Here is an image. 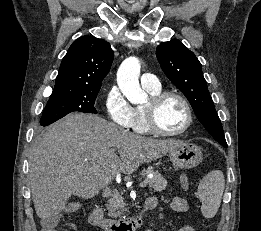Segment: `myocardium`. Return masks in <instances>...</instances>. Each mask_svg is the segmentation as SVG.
<instances>
[{
  "label": "myocardium",
  "instance_id": "1",
  "mask_svg": "<svg viewBox=\"0 0 261 231\" xmlns=\"http://www.w3.org/2000/svg\"><path fill=\"white\" fill-rule=\"evenodd\" d=\"M169 98H177L178 100H180L186 111L185 125L180 130L173 131V132H168L163 130L157 122L158 110L161 104ZM143 110H144L145 122L149 130L152 133L160 136L172 137V136L182 135L191 127L193 123V112L189 101L183 95L177 92L165 91V92H160L157 95L151 96L147 104L144 105Z\"/></svg>",
  "mask_w": 261,
  "mask_h": 231
}]
</instances>
